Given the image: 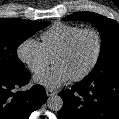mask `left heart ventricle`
<instances>
[{
  "mask_svg": "<svg viewBox=\"0 0 119 119\" xmlns=\"http://www.w3.org/2000/svg\"><path fill=\"white\" fill-rule=\"evenodd\" d=\"M96 52V39L90 33L78 38L72 49L54 60V64L63 67L71 77L81 74L92 62Z\"/></svg>",
  "mask_w": 119,
  "mask_h": 119,
  "instance_id": "obj_1",
  "label": "left heart ventricle"
}]
</instances>
